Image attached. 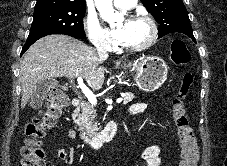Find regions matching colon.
Masks as SVG:
<instances>
[{
  "instance_id": "colon-1",
  "label": "colon",
  "mask_w": 227,
  "mask_h": 166,
  "mask_svg": "<svg viewBox=\"0 0 227 166\" xmlns=\"http://www.w3.org/2000/svg\"><path fill=\"white\" fill-rule=\"evenodd\" d=\"M171 58L175 64H187L190 51L182 40H174L170 46ZM193 84V76L185 73L171 105L172 116L177 128L180 147L178 166H197L199 149L194 131L189 124L185 99ZM68 96L61 89H53L48 96L42 113L25 126L27 136L21 149L22 166H45V151L41 147L46 132L54 127L68 105Z\"/></svg>"
}]
</instances>
